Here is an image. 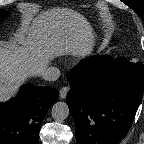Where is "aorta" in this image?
I'll return each mask as SVG.
<instances>
[{"label":"aorta","mask_w":144,"mask_h":144,"mask_svg":"<svg viewBox=\"0 0 144 144\" xmlns=\"http://www.w3.org/2000/svg\"><path fill=\"white\" fill-rule=\"evenodd\" d=\"M69 113V107L65 102H57L52 106L51 115L57 121L65 120Z\"/></svg>","instance_id":"762f6f07"}]
</instances>
